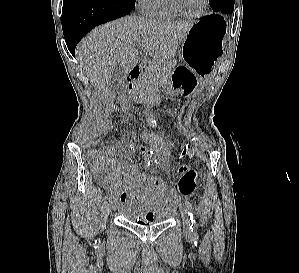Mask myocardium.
<instances>
[{"instance_id":"myocardium-1","label":"myocardium","mask_w":299,"mask_h":273,"mask_svg":"<svg viewBox=\"0 0 299 273\" xmlns=\"http://www.w3.org/2000/svg\"><path fill=\"white\" fill-rule=\"evenodd\" d=\"M170 7L180 16L186 17V18H190V19H195V18H199L201 17L207 10L208 5H209V0H204L203 3V7L201 8V10L197 13L194 14H190L185 12L178 4L177 0H167Z\"/></svg>"}]
</instances>
